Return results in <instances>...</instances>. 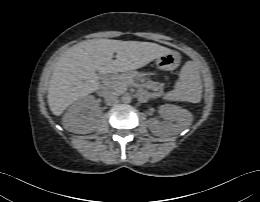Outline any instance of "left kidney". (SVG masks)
Segmentation results:
<instances>
[{"mask_svg":"<svg viewBox=\"0 0 260 202\" xmlns=\"http://www.w3.org/2000/svg\"><path fill=\"white\" fill-rule=\"evenodd\" d=\"M161 116L168 120L167 123H161L157 119H149L148 126L153 135L164 137L175 135L184 130L192 119L191 113L176 105H162L159 107ZM176 123H172V122Z\"/></svg>","mask_w":260,"mask_h":202,"instance_id":"5707ae66","label":"left kidney"}]
</instances>
